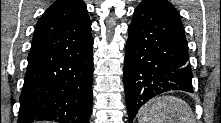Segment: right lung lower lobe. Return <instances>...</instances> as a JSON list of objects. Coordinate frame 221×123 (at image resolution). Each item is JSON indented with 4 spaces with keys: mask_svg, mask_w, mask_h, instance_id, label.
<instances>
[{
    "mask_svg": "<svg viewBox=\"0 0 221 123\" xmlns=\"http://www.w3.org/2000/svg\"><path fill=\"white\" fill-rule=\"evenodd\" d=\"M90 31L62 45L31 48L18 122L89 123L93 80Z\"/></svg>",
    "mask_w": 221,
    "mask_h": 123,
    "instance_id": "98d812e1",
    "label": "right lung lower lobe"
}]
</instances>
